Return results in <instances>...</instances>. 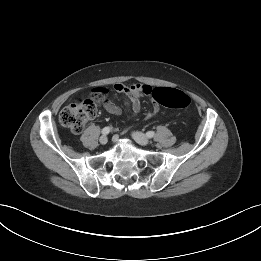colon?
I'll list each match as a JSON object with an SVG mask.
<instances>
[{
  "label": "colon",
  "instance_id": "1",
  "mask_svg": "<svg viewBox=\"0 0 261 261\" xmlns=\"http://www.w3.org/2000/svg\"><path fill=\"white\" fill-rule=\"evenodd\" d=\"M106 94L105 89L97 88L90 97L79 99L63 108L59 114L60 125L74 133H80L86 123L95 117L97 105L104 102ZM151 96L156 103L172 109H184L191 102L187 94L173 88H155Z\"/></svg>",
  "mask_w": 261,
  "mask_h": 261
}]
</instances>
